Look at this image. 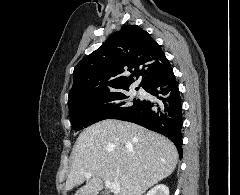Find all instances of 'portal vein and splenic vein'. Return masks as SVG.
Returning a JSON list of instances; mask_svg holds the SVG:
<instances>
[{
	"mask_svg": "<svg viewBox=\"0 0 240 195\" xmlns=\"http://www.w3.org/2000/svg\"><path fill=\"white\" fill-rule=\"evenodd\" d=\"M91 175H92L91 171H86L85 177H91ZM104 183H105V187H109V189H111V191H113L115 195L119 193L120 183H118V181H104Z\"/></svg>",
	"mask_w": 240,
	"mask_h": 195,
	"instance_id": "portal-vein-and-splenic-vein-1",
	"label": "portal vein and splenic vein"
}]
</instances>
